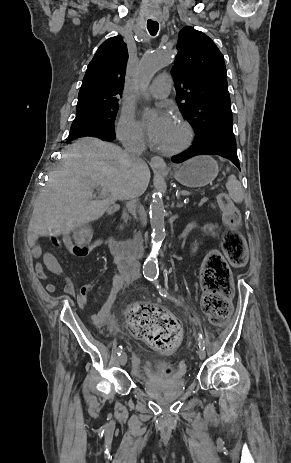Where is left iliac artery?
<instances>
[{
  "instance_id": "obj_1",
  "label": "left iliac artery",
  "mask_w": 291,
  "mask_h": 463,
  "mask_svg": "<svg viewBox=\"0 0 291 463\" xmlns=\"http://www.w3.org/2000/svg\"><path fill=\"white\" fill-rule=\"evenodd\" d=\"M151 281L154 282L156 288L159 290V293L162 297L168 298L170 300H174V297L170 296L169 293L165 289L161 288V286L158 284L157 276L152 278ZM198 342H199L200 348L205 349V342L201 334H199Z\"/></svg>"
}]
</instances>
